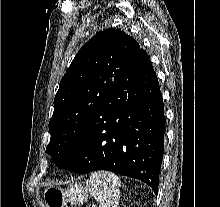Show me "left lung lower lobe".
I'll list each match as a JSON object with an SVG mask.
<instances>
[{"instance_id":"left-lung-lower-lobe-1","label":"left lung lower lobe","mask_w":220,"mask_h":207,"mask_svg":"<svg viewBox=\"0 0 220 207\" xmlns=\"http://www.w3.org/2000/svg\"><path fill=\"white\" fill-rule=\"evenodd\" d=\"M164 133L158 79L139 48L89 129L56 165L82 174L112 171L145 182L157 194Z\"/></svg>"}]
</instances>
